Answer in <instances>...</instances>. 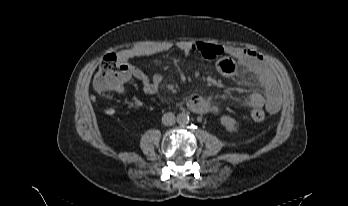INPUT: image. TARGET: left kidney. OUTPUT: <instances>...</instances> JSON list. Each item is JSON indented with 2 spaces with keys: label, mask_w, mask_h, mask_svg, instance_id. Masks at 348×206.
<instances>
[{
  "label": "left kidney",
  "mask_w": 348,
  "mask_h": 206,
  "mask_svg": "<svg viewBox=\"0 0 348 206\" xmlns=\"http://www.w3.org/2000/svg\"><path fill=\"white\" fill-rule=\"evenodd\" d=\"M220 122L223 126L226 127V129L229 131V132H235L237 131V128H238V123L237 121L230 117V116H222L220 118Z\"/></svg>",
  "instance_id": "obj_1"
}]
</instances>
